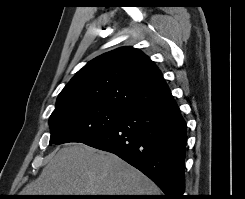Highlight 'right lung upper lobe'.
I'll use <instances>...</instances> for the list:
<instances>
[{"mask_svg":"<svg viewBox=\"0 0 245 199\" xmlns=\"http://www.w3.org/2000/svg\"><path fill=\"white\" fill-rule=\"evenodd\" d=\"M171 95L156 65L141 51L122 47L88 62L60 92L55 110L98 104L130 112Z\"/></svg>","mask_w":245,"mask_h":199,"instance_id":"right-lung-upper-lobe-1","label":"right lung upper lobe"}]
</instances>
